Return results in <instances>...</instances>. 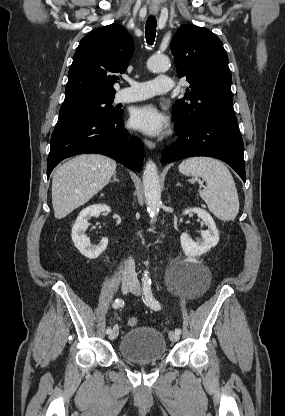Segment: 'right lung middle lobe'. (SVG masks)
Segmentation results:
<instances>
[{
    "label": "right lung middle lobe",
    "instance_id": "obj_1",
    "mask_svg": "<svg viewBox=\"0 0 285 416\" xmlns=\"http://www.w3.org/2000/svg\"><path fill=\"white\" fill-rule=\"evenodd\" d=\"M113 99L114 97L64 100L60 108L58 120L80 117L112 118L122 116L123 111L115 109L112 105Z\"/></svg>",
    "mask_w": 285,
    "mask_h": 416
}]
</instances>
